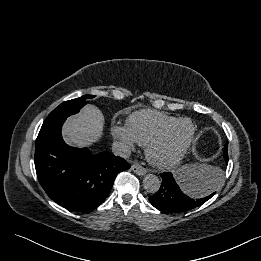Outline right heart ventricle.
Returning <instances> with one entry per match:
<instances>
[{
	"instance_id": "right-heart-ventricle-1",
	"label": "right heart ventricle",
	"mask_w": 261,
	"mask_h": 261,
	"mask_svg": "<svg viewBox=\"0 0 261 261\" xmlns=\"http://www.w3.org/2000/svg\"><path fill=\"white\" fill-rule=\"evenodd\" d=\"M176 119L178 118L160 111L144 109L131 114L127 118L126 126L135 141L145 146L158 132Z\"/></svg>"
}]
</instances>
